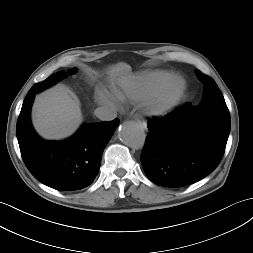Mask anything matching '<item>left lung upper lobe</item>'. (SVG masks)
I'll return each mask as SVG.
<instances>
[{"mask_svg":"<svg viewBox=\"0 0 253 253\" xmlns=\"http://www.w3.org/2000/svg\"><path fill=\"white\" fill-rule=\"evenodd\" d=\"M196 76L204 85L203 100L201 104L204 103L205 101L211 100L225 102L221 91L219 90V88L217 87L216 83L212 78L204 75L199 70L196 71Z\"/></svg>","mask_w":253,"mask_h":253,"instance_id":"obj_1","label":"left lung upper lobe"}]
</instances>
